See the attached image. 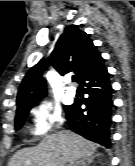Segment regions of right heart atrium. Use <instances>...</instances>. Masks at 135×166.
I'll use <instances>...</instances> for the list:
<instances>
[{
	"instance_id": "d8ad5b80",
	"label": "right heart atrium",
	"mask_w": 135,
	"mask_h": 166,
	"mask_svg": "<svg viewBox=\"0 0 135 166\" xmlns=\"http://www.w3.org/2000/svg\"><path fill=\"white\" fill-rule=\"evenodd\" d=\"M32 118V133L36 137L46 136L55 127L61 125L64 119L61 108L49 101L37 104L32 110Z\"/></svg>"
}]
</instances>
